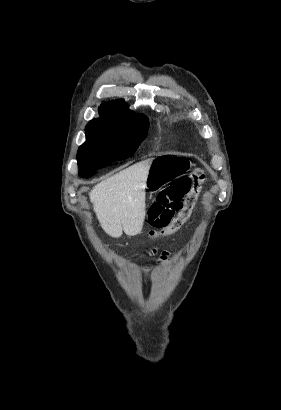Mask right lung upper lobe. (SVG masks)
<instances>
[{"instance_id": "1", "label": "right lung upper lobe", "mask_w": 281, "mask_h": 410, "mask_svg": "<svg viewBox=\"0 0 281 410\" xmlns=\"http://www.w3.org/2000/svg\"><path fill=\"white\" fill-rule=\"evenodd\" d=\"M98 110L101 117L95 120L123 123L145 118L142 114H134L130 111L127 103L122 100L103 102Z\"/></svg>"}]
</instances>
